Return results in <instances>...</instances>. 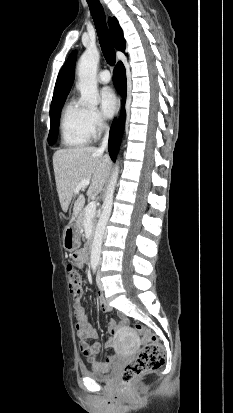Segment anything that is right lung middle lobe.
I'll use <instances>...</instances> for the list:
<instances>
[{"mask_svg": "<svg viewBox=\"0 0 233 413\" xmlns=\"http://www.w3.org/2000/svg\"><path fill=\"white\" fill-rule=\"evenodd\" d=\"M64 102H65V99L58 103L51 104V107H50V131H49V136H48V143L50 145H53L57 139L58 127H59V116H60V111H61V108Z\"/></svg>", "mask_w": 233, "mask_h": 413, "instance_id": "obj_1", "label": "right lung middle lobe"}]
</instances>
